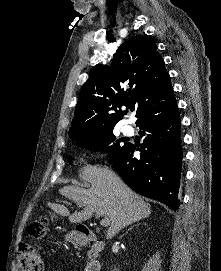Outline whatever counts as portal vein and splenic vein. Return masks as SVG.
Here are the masks:
<instances>
[{"mask_svg":"<svg viewBox=\"0 0 221 271\" xmlns=\"http://www.w3.org/2000/svg\"><path fill=\"white\" fill-rule=\"evenodd\" d=\"M97 215H98V213H97ZM98 217H100V215H98ZM100 223H101V225H104V227H107V225H110L109 217H103V219H101Z\"/></svg>","mask_w":221,"mask_h":271,"instance_id":"1","label":"portal vein and splenic vein"}]
</instances>
